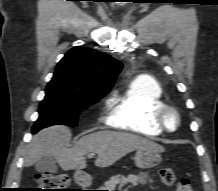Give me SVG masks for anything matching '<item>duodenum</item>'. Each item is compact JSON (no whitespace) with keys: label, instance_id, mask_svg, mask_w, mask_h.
Wrapping results in <instances>:
<instances>
[{"label":"duodenum","instance_id":"410a0bca","mask_svg":"<svg viewBox=\"0 0 218 191\" xmlns=\"http://www.w3.org/2000/svg\"><path fill=\"white\" fill-rule=\"evenodd\" d=\"M76 181L83 186H88L90 183L88 175L80 170L76 172Z\"/></svg>","mask_w":218,"mask_h":191}]
</instances>
